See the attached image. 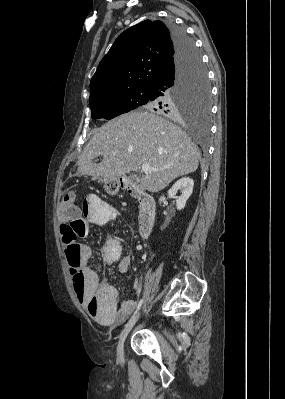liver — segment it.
I'll use <instances>...</instances> for the list:
<instances>
[{"mask_svg":"<svg viewBox=\"0 0 285 399\" xmlns=\"http://www.w3.org/2000/svg\"><path fill=\"white\" fill-rule=\"evenodd\" d=\"M98 156L103 159L97 164ZM199 158L198 147L180 127L154 113L134 111L97 130L78 158L77 172L105 181L149 164L159 171L144 172L138 181L145 190L158 192L174 179L196 171Z\"/></svg>","mask_w":285,"mask_h":399,"instance_id":"1","label":"liver"}]
</instances>
